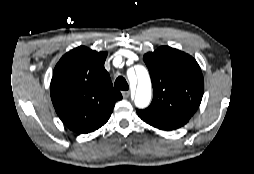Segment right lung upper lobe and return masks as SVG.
<instances>
[{
	"instance_id": "1",
	"label": "right lung upper lobe",
	"mask_w": 254,
	"mask_h": 174,
	"mask_svg": "<svg viewBox=\"0 0 254 174\" xmlns=\"http://www.w3.org/2000/svg\"><path fill=\"white\" fill-rule=\"evenodd\" d=\"M106 52L80 46L55 66L50 85L54 108L63 123L82 134L102 126L122 99L104 68Z\"/></svg>"
}]
</instances>
